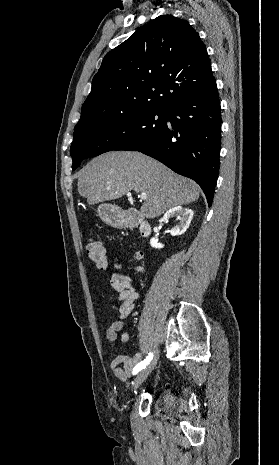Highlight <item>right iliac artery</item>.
Returning <instances> with one entry per match:
<instances>
[{
    "instance_id": "82829eb1",
    "label": "right iliac artery",
    "mask_w": 279,
    "mask_h": 465,
    "mask_svg": "<svg viewBox=\"0 0 279 465\" xmlns=\"http://www.w3.org/2000/svg\"><path fill=\"white\" fill-rule=\"evenodd\" d=\"M153 358V353H149V356L146 357V359H144L140 364H138L134 370H133V374H137L140 370H142L143 368L146 367V365H148L150 363V361L152 360Z\"/></svg>"
}]
</instances>
